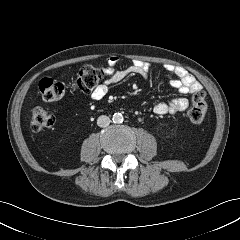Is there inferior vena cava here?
<instances>
[{
    "instance_id": "inferior-vena-cava-1",
    "label": "inferior vena cava",
    "mask_w": 240,
    "mask_h": 240,
    "mask_svg": "<svg viewBox=\"0 0 240 240\" xmlns=\"http://www.w3.org/2000/svg\"><path fill=\"white\" fill-rule=\"evenodd\" d=\"M111 120L108 116L101 115L97 119V125L99 127H107L110 124Z\"/></svg>"
}]
</instances>
